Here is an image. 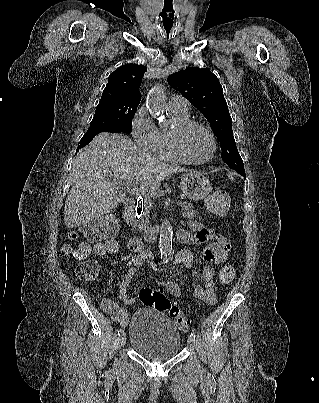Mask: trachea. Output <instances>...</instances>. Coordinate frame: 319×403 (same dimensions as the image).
I'll return each mask as SVG.
<instances>
[{
	"label": "trachea",
	"mask_w": 319,
	"mask_h": 403,
	"mask_svg": "<svg viewBox=\"0 0 319 403\" xmlns=\"http://www.w3.org/2000/svg\"><path fill=\"white\" fill-rule=\"evenodd\" d=\"M163 25H164V29L166 30L167 36L169 38V33H170L171 29H172L173 22H171V21H167L165 23L163 22Z\"/></svg>",
	"instance_id": "3493384b"
}]
</instances>
